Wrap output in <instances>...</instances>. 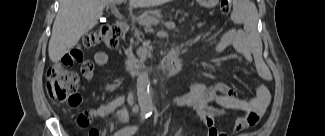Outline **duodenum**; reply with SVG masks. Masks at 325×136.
<instances>
[{
    "mask_svg": "<svg viewBox=\"0 0 325 136\" xmlns=\"http://www.w3.org/2000/svg\"><path fill=\"white\" fill-rule=\"evenodd\" d=\"M116 25L122 33L126 32L129 28L128 22L125 20H119ZM182 53L183 49L181 47L173 49L167 53L164 60L156 66H150L144 62L128 58L125 62V67L132 74L153 72L159 76H164L182 69L184 64Z\"/></svg>",
    "mask_w": 325,
    "mask_h": 136,
    "instance_id": "obj_1",
    "label": "duodenum"
}]
</instances>
